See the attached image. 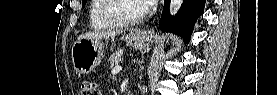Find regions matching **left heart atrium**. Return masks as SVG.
<instances>
[{
    "label": "left heart atrium",
    "instance_id": "left-heart-atrium-1",
    "mask_svg": "<svg viewBox=\"0 0 277 95\" xmlns=\"http://www.w3.org/2000/svg\"><path fill=\"white\" fill-rule=\"evenodd\" d=\"M141 1L146 6H152L158 2V0H141Z\"/></svg>",
    "mask_w": 277,
    "mask_h": 95
}]
</instances>
